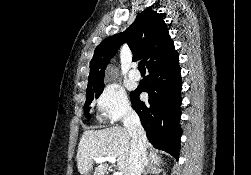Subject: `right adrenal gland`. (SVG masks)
<instances>
[{
  "mask_svg": "<svg viewBox=\"0 0 251 175\" xmlns=\"http://www.w3.org/2000/svg\"><path fill=\"white\" fill-rule=\"evenodd\" d=\"M160 171H163V169H161L157 163H149L146 167L144 175H148V173H156V175H159Z\"/></svg>",
  "mask_w": 251,
  "mask_h": 175,
  "instance_id": "obj_1",
  "label": "right adrenal gland"
}]
</instances>
